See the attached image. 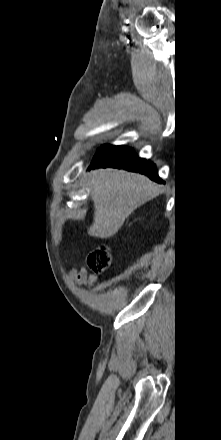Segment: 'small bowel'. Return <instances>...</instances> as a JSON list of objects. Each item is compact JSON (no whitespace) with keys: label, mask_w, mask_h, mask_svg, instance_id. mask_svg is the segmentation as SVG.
Wrapping results in <instances>:
<instances>
[{"label":"small bowel","mask_w":221,"mask_h":440,"mask_svg":"<svg viewBox=\"0 0 221 440\" xmlns=\"http://www.w3.org/2000/svg\"><path fill=\"white\" fill-rule=\"evenodd\" d=\"M70 277L75 279L79 285L92 284L94 282V277L88 276L84 268H73L70 271Z\"/></svg>","instance_id":"1"}]
</instances>
